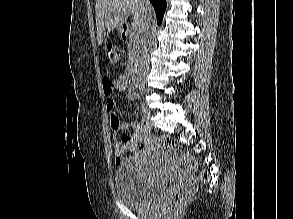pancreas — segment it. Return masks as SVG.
<instances>
[{"instance_id": "obj_1", "label": "pancreas", "mask_w": 293, "mask_h": 219, "mask_svg": "<svg viewBox=\"0 0 293 219\" xmlns=\"http://www.w3.org/2000/svg\"><path fill=\"white\" fill-rule=\"evenodd\" d=\"M129 47V58L127 61V67H132L134 65V61L137 57V50L139 47V42L136 37L133 38V40L128 44Z\"/></svg>"}]
</instances>
